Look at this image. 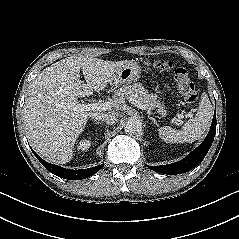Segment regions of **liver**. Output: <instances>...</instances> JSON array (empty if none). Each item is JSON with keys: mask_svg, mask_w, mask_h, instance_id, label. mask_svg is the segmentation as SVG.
Wrapping results in <instances>:
<instances>
[{"mask_svg": "<svg viewBox=\"0 0 239 239\" xmlns=\"http://www.w3.org/2000/svg\"><path fill=\"white\" fill-rule=\"evenodd\" d=\"M125 62L70 56L38 74L24 105L27 136L38 155L58 164L73 158L75 142L89 117L104 114L75 110L78 98L104 90ZM80 69L86 83L80 79Z\"/></svg>", "mask_w": 239, "mask_h": 239, "instance_id": "1", "label": "liver"}]
</instances>
